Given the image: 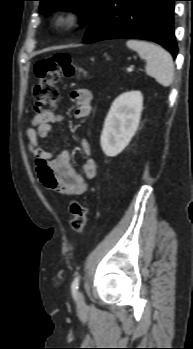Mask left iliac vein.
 <instances>
[{"label": "left iliac vein", "mask_w": 193, "mask_h": 349, "mask_svg": "<svg viewBox=\"0 0 193 349\" xmlns=\"http://www.w3.org/2000/svg\"><path fill=\"white\" fill-rule=\"evenodd\" d=\"M77 306L79 308H82L85 306V301H84V298H83V295L81 293H78V297H77Z\"/></svg>", "instance_id": "obj_1"}]
</instances>
